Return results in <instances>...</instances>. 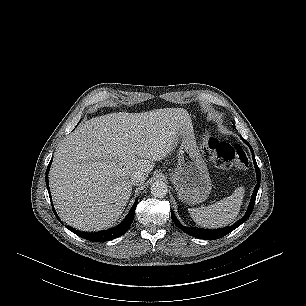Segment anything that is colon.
Wrapping results in <instances>:
<instances>
[{
	"label": "colon",
	"mask_w": 306,
	"mask_h": 306,
	"mask_svg": "<svg viewBox=\"0 0 306 306\" xmlns=\"http://www.w3.org/2000/svg\"><path fill=\"white\" fill-rule=\"evenodd\" d=\"M204 156L222 168L248 166L249 155L246 149L236 143L234 145L219 142L210 132L202 138Z\"/></svg>",
	"instance_id": "1"
}]
</instances>
